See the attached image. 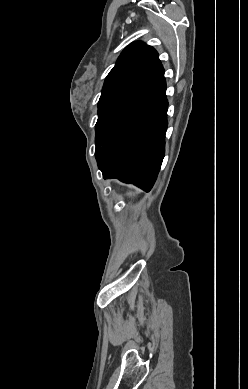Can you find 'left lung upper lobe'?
Wrapping results in <instances>:
<instances>
[{"instance_id":"1","label":"left lung upper lobe","mask_w":248,"mask_h":389,"mask_svg":"<svg viewBox=\"0 0 248 389\" xmlns=\"http://www.w3.org/2000/svg\"><path fill=\"white\" fill-rule=\"evenodd\" d=\"M157 60V51L143 42L137 41L127 46L105 79L98 102V114ZM102 142L96 136V148Z\"/></svg>"}]
</instances>
